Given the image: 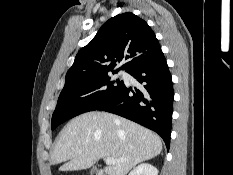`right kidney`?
I'll return each mask as SVG.
<instances>
[{"label": "right kidney", "mask_w": 233, "mask_h": 175, "mask_svg": "<svg viewBox=\"0 0 233 175\" xmlns=\"http://www.w3.org/2000/svg\"><path fill=\"white\" fill-rule=\"evenodd\" d=\"M129 175H158V170L148 163H143L135 167Z\"/></svg>", "instance_id": "1"}]
</instances>
